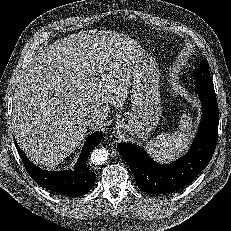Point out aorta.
Returning a JSON list of instances; mask_svg holds the SVG:
<instances>
[{
    "mask_svg": "<svg viewBox=\"0 0 231 231\" xmlns=\"http://www.w3.org/2000/svg\"><path fill=\"white\" fill-rule=\"evenodd\" d=\"M109 158V151L104 147L96 148L92 151L90 160L94 165H103Z\"/></svg>",
    "mask_w": 231,
    "mask_h": 231,
    "instance_id": "obj_1",
    "label": "aorta"
}]
</instances>
